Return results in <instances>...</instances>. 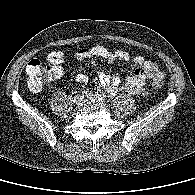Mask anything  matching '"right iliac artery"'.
<instances>
[{
	"instance_id": "obj_1",
	"label": "right iliac artery",
	"mask_w": 195,
	"mask_h": 195,
	"mask_svg": "<svg viewBox=\"0 0 195 195\" xmlns=\"http://www.w3.org/2000/svg\"><path fill=\"white\" fill-rule=\"evenodd\" d=\"M88 92H89V90H84L82 93L87 94Z\"/></svg>"
}]
</instances>
